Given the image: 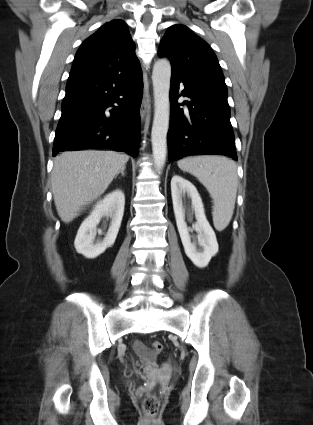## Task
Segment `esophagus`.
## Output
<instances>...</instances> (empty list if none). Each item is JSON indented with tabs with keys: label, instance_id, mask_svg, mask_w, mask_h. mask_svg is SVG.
<instances>
[{
	"label": "esophagus",
	"instance_id": "34e87169",
	"mask_svg": "<svg viewBox=\"0 0 313 425\" xmlns=\"http://www.w3.org/2000/svg\"><path fill=\"white\" fill-rule=\"evenodd\" d=\"M148 108H149V103L147 99L144 97L142 100L141 108H140V116L142 120L145 119L148 112Z\"/></svg>",
	"mask_w": 313,
	"mask_h": 425
}]
</instances>
